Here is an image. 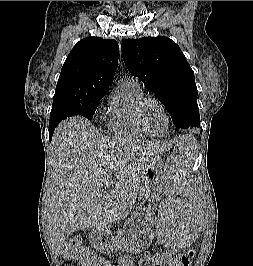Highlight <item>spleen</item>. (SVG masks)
I'll return each mask as SVG.
<instances>
[{"label": "spleen", "mask_w": 253, "mask_h": 266, "mask_svg": "<svg viewBox=\"0 0 253 266\" xmlns=\"http://www.w3.org/2000/svg\"><path fill=\"white\" fill-rule=\"evenodd\" d=\"M182 144H195V135H182ZM198 147H177L169 154L166 168L169 169V186L166 198L169 207H159L156 213V244L162 248H192L198 242L196 229H202L205 207H196L194 199H202V190H191L194 163Z\"/></svg>", "instance_id": "3e777b00"}]
</instances>
